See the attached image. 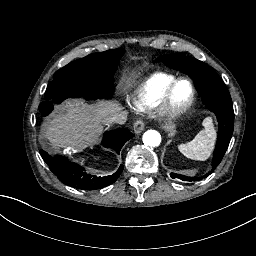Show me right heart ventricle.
<instances>
[{
  "label": "right heart ventricle",
  "instance_id": "right-heart-ventricle-1",
  "mask_svg": "<svg viewBox=\"0 0 256 256\" xmlns=\"http://www.w3.org/2000/svg\"><path fill=\"white\" fill-rule=\"evenodd\" d=\"M178 80L176 75L157 72L143 82V93L140 100L158 103L170 89L172 84Z\"/></svg>",
  "mask_w": 256,
  "mask_h": 256
}]
</instances>
